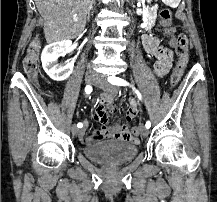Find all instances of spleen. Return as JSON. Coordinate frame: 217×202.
Returning a JSON list of instances; mask_svg holds the SVG:
<instances>
[{"label": "spleen", "instance_id": "1", "mask_svg": "<svg viewBox=\"0 0 217 202\" xmlns=\"http://www.w3.org/2000/svg\"><path fill=\"white\" fill-rule=\"evenodd\" d=\"M165 5H168V7H179V0H165Z\"/></svg>", "mask_w": 217, "mask_h": 202}]
</instances>
